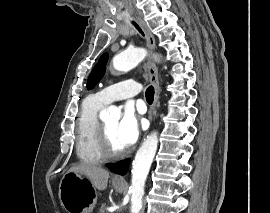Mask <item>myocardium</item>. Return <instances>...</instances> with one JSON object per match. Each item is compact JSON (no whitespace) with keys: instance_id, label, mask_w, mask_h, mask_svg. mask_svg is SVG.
<instances>
[{"instance_id":"1","label":"myocardium","mask_w":270,"mask_h":213,"mask_svg":"<svg viewBox=\"0 0 270 213\" xmlns=\"http://www.w3.org/2000/svg\"><path fill=\"white\" fill-rule=\"evenodd\" d=\"M97 137L99 148L105 159H116L124 155L125 152L123 150L117 151L111 146L102 122L98 124Z\"/></svg>"}]
</instances>
